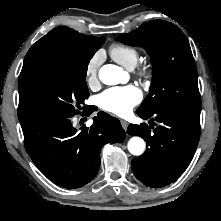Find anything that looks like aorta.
Masks as SVG:
<instances>
[{
	"instance_id": "obj_1",
	"label": "aorta",
	"mask_w": 221,
	"mask_h": 221,
	"mask_svg": "<svg viewBox=\"0 0 221 221\" xmlns=\"http://www.w3.org/2000/svg\"><path fill=\"white\" fill-rule=\"evenodd\" d=\"M122 69L116 65L107 64L101 67L99 79L106 85L118 84L122 77ZM128 150L132 155L140 156L145 150V142L140 137H132L128 142Z\"/></svg>"
}]
</instances>
